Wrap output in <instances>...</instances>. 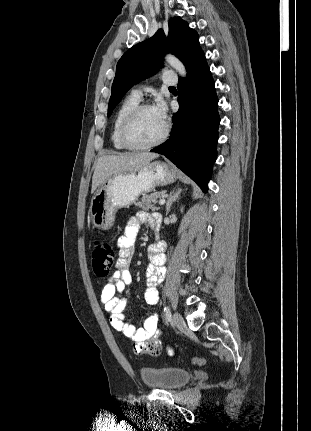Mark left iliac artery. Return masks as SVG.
<instances>
[{
	"label": "left iliac artery",
	"mask_w": 311,
	"mask_h": 431,
	"mask_svg": "<svg viewBox=\"0 0 311 431\" xmlns=\"http://www.w3.org/2000/svg\"><path fill=\"white\" fill-rule=\"evenodd\" d=\"M164 318L166 322H170L172 315L169 306H165L164 308Z\"/></svg>",
	"instance_id": "obj_1"
}]
</instances>
